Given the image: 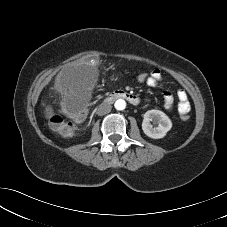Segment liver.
<instances>
[{
  "label": "liver",
  "instance_id": "6515ba94",
  "mask_svg": "<svg viewBox=\"0 0 227 227\" xmlns=\"http://www.w3.org/2000/svg\"><path fill=\"white\" fill-rule=\"evenodd\" d=\"M92 64L86 62H79L76 64H69L55 80V89L63 95L73 92L75 86L81 82L84 75L89 70H95Z\"/></svg>",
  "mask_w": 227,
  "mask_h": 227
}]
</instances>
